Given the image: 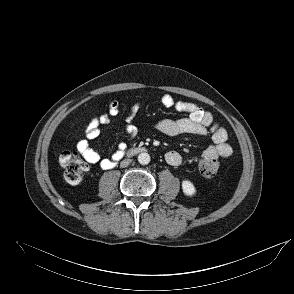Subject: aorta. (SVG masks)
<instances>
[{
  "mask_svg": "<svg viewBox=\"0 0 294 294\" xmlns=\"http://www.w3.org/2000/svg\"><path fill=\"white\" fill-rule=\"evenodd\" d=\"M138 162L142 165H147L150 162V155L146 152L140 153L138 155Z\"/></svg>",
  "mask_w": 294,
  "mask_h": 294,
  "instance_id": "1",
  "label": "aorta"
}]
</instances>
